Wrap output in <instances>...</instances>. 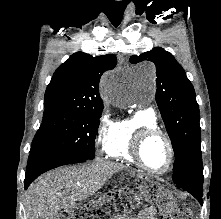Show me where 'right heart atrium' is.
I'll list each match as a JSON object with an SVG mask.
<instances>
[{
    "label": "right heart atrium",
    "instance_id": "d8ad5b80",
    "mask_svg": "<svg viewBox=\"0 0 221 219\" xmlns=\"http://www.w3.org/2000/svg\"><path fill=\"white\" fill-rule=\"evenodd\" d=\"M113 124L114 122L110 118L109 110H105L104 114L100 119L96 135L97 143L101 146L102 150H105L106 148Z\"/></svg>",
    "mask_w": 221,
    "mask_h": 219
}]
</instances>
